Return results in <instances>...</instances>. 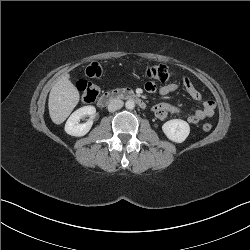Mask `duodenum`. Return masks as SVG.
Masks as SVG:
<instances>
[{
    "label": "duodenum",
    "mask_w": 250,
    "mask_h": 250,
    "mask_svg": "<svg viewBox=\"0 0 250 250\" xmlns=\"http://www.w3.org/2000/svg\"><path fill=\"white\" fill-rule=\"evenodd\" d=\"M130 100L138 104L142 108H146V104L143 99L135 92L128 89H116L104 92L98 99L97 105L105 107L115 100Z\"/></svg>",
    "instance_id": "1"
}]
</instances>
